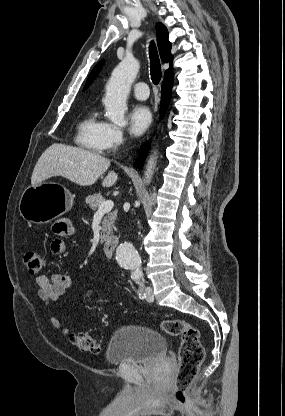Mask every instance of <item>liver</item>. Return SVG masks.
I'll use <instances>...</instances> for the list:
<instances>
[{
	"mask_svg": "<svg viewBox=\"0 0 285 416\" xmlns=\"http://www.w3.org/2000/svg\"><path fill=\"white\" fill-rule=\"evenodd\" d=\"M109 166V160L101 154L64 144H52L40 156L31 176V184L38 186L52 176H62L78 186H92ZM117 180L115 172H108L102 186L111 188Z\"/></svg>",
	"mask_w": 285,
	"mask_h": 416,
	"instance_id": "obj_1",
	"label": "liver"
}]
</instances>
